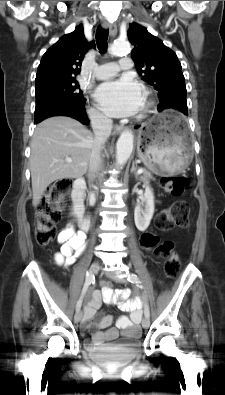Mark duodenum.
Masks as SVG:
<instances>
[{"mask_svg":"<svg viewBox=\"0 0 225 395\" xmlns=\"http://www.w3.org/2000/svg\"><path fill=\"white\" fill-rule=\"evenodd\" d=\"M84 189H85V181L83 178H78L74 182V187L72 191V200L75 203L77 207H79L80 212L82 213L81 210V204L84 199ZM80 226L83 230H88L90 228V219L85 216L81 215L80 217Z\"/></svg>","mask_w":225,"mask_h":395,"instance_id":"410a0bca","label":"duodenum"}]
</instances>
